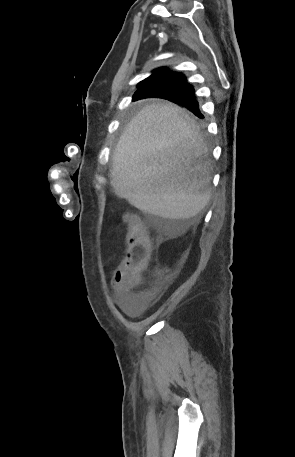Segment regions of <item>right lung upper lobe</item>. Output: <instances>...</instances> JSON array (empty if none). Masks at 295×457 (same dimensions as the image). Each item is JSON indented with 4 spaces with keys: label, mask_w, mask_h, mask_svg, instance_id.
I'll return each instance as SVG.
<instances>
[{
    "label": "right lung upper lobe",
    "mask_w": 295,
    "mask_h": 457,
    "mask_svg": "<svg viewBox=\"0 0 295 457\" xmlns=\"http://www.w3.org/2000/svg\"><path fill=\"white\" fill-rule=\"evenodd\" d=\"M179 74L181 73H174L168 71L166 68H160L158 70H154L153 74L146 78L145 80L141 81L138 84V87L144 88V87H149L157 84H162L166 82H170L174 79H176Z\"/></svg>",
    "instance_id": "cb5924a9"
}]
</instances>
